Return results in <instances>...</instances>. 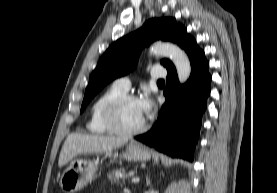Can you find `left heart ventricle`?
<instances>
[{
  "instance_id": "1",
  "label": "left heart ventricle",
  "mask_w": 277,
  "mask_h": 193,
  "mask_svg": "<svg viewBox=\"0 0 277 193\" xmlns=\"http://www.w3.org/2000/svg\"><path fill=\"white\" fill-rule=\"evenodd\" d=\"M145 121L139 104L136 100L125 102L120 108L119 122L124 129H134L139 127Z\"/></svg>"
}]
</instances>
